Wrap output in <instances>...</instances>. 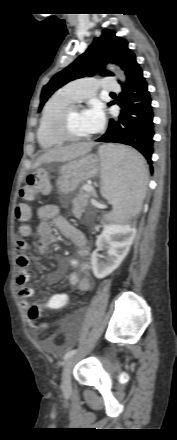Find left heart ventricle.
<instances>
[{"label":"left heart ventricle","mask_w":177,"mask_h":440,"mask_svg":"<svg viewBox=\"0 0 177 440\" xmlns=\"http://www.w3.org/2000/svg\"><path fill=\"white\" fill-rule=\"evenodd\" d=\"M68 133L74 137H84L90 133L87 131L82 111H72L67 120Z\"/></svg>","instance_id":"b2bd125f"}]
</instances>
